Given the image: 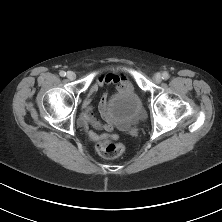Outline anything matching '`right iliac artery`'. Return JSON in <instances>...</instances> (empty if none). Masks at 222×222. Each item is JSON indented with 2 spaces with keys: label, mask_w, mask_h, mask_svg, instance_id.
<instances>
[{
  "label": "right iliac artery",
  "mask_w": 222,
  "mask_h": 222,
  "mask_svg": "<svg viewBox=\"0 0 222 222\" xmlns=\"http://www.w3.org/2000/svg\"><path fill=\"white\" fill-rule=\"evenodd\" d=\"M60 76L64 77L66 75V72L65 71H60Z\"/></svg>",
  "instance_id": "right-iliac-artery-1"
}]
</instances>
